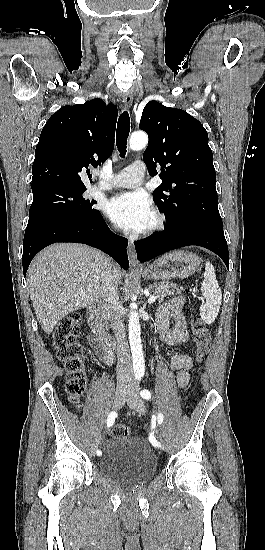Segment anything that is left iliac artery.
Listing matches in <instances>:
<instances>
[{
    "instance_id": "44dca946",
    "label": "left iliac artery",
    "mask_w": 265,
    "mask_h": 550,
    "mask_svg": "<svg viewBox=\"0 0 265 550\" xmlns=\"http://www.w3.org/2000/svg\"><path fill=\"white\" fill-rule=\"evenodd\" d=\"M140 395L143 399H146V400H149L151 398V393L149 390H142L140 392ZM157 419H158V423L161 424L163 422V419H164V416L162 413H159L158 416H157ZM149 441L150 443L155 446V447H161V444L156 440V438L154 437V434L151 433L150 436H149Z\"/></svg>"
}]
</instances>
